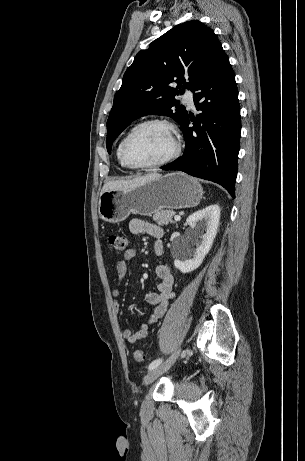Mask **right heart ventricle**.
I'll use <instances>...</instances> for the list:
<instances>
[{
    "label": "right heart ventricle",
    "mask_w": 305,
    "mask_h": 461,
    "mask_svg": "<svg viewBox=\"0 0 305 461\" xmlns=\"http://www.w3.org/2000/svg\"><path fill=\"white\" fill-rule=\"evenodd\" d=\"M125 136L122 137L118 144H117V147H116V157H117V160L120 164L121 167L125 168V169H131V167H129L126 162L124 161L123 159V156H122V143H123V140H124Z\"/></svg>",
    "instance_id": "e07e8e85"
}]
</instances>
